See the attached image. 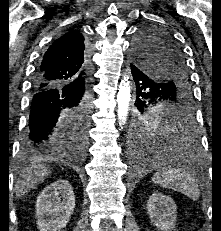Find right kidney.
<instances>
[{
	"label": "right kidney",
	"mask_w": 221,
	"mask_h": 231,
	"mask_svg": "<svg viewBox=\"0 0 221 231\" xmlns=\"http://www.w3.org/2000/svg\"><path fill=\"white\" fill-rule=\"evenodd\" d=\"M75 209L73 188L66 180L46 186L37 198L36 215L40 231H61Z\"/></svg>",
	"instance_id": "1"
}]
</instances>
